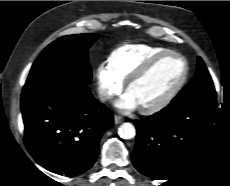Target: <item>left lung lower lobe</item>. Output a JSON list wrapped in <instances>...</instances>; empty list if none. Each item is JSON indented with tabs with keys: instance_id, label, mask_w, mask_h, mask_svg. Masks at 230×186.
I'll list each match as a JSON object with an SVG mask.
<instances>
[{
	"instance_id": "left-lung-lower-lobe-1",
	"label": "left lung lower lobe",
	"mask_w": 230,
	"mask_h": 186,
	"mask_svg": "<svg viewBox=\"0 0 230 186\" xmlns=\"http://www.w3.org/2000/svg\"><path fill=\"white\" fill-rule=\"evenodd\" d=\"M216 114V93L171 102L161 111L136 120L132 154L136 169L154 179H168L185 167L209 135Z\"/></svg>"
}]
</instances>
